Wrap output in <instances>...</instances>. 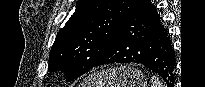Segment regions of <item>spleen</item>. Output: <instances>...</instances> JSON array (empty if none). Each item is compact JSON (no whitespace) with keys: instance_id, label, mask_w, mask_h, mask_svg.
Wrapping results in <instances>:
<instances>
[{"instance_id":"1","label":"spleen","mask_w":205,"mask_h":87,"mask_svg":"<svg viewBox=\"0 0 205 87\" xmlns=\"http://www.w3.org/2000/svg\"><path fill=\"white\" fill-rule=\"evenodd\" d=\"M151 82V87H164L161 81H159L156 77H152Z\"/></svg>"}]
</instances>
